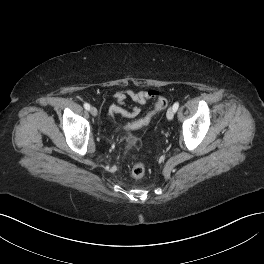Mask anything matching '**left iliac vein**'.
Instances as JSON below:
<instances>
[{"instance_id": "4c4485c4", "label": "left iliac vein", "mask_w": 264, "mask_h": 264, "mask_svg": "<svg viewBox=\"0 0 264 264\" xmlns=\"http://www.w3.org/2000/svg\"><path fill=\"white\" fill-rule=\"evenodd\" d=\"M174 114H175V111H174L173 107L169 108L167 110V113H166L167 119L172 120L174 117Z\"/></svg>"}]
</instances>
